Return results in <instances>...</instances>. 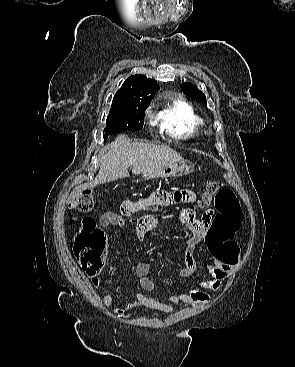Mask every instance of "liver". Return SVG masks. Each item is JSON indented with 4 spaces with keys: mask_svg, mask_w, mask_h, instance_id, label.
<instances>
[{
    "mask_svg": "<svg viewBox=\"0 0 295 367\" xmlns=\"http://www.w3.org/2000/svg\"><path fill=\"white\" fill-rule=\"evenodd\" d=\"M182 160L169 146L131 142L126 135L118 136L109 145L108 152L100 154V169L95 181L76 187L68 202L73 203L77 195L87 187L128 177L130 166L133 174H148Z\"/></svg>",
    "mask_w": 295,
    "mask_h": 367,
    "instance_id": "obj_1",
    "label": "liver"
}]
</instances>
